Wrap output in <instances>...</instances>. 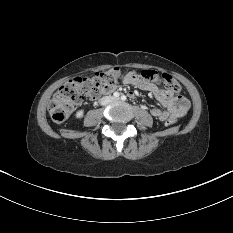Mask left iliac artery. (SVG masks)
<instances>
[{"label": "left iliac artery", "instance_id": "left-iliac-artery-1", "mask_svg": "<svg viewBox=\"0 0 233 233\" xmlns=\"http://www.w3.org/2000/svg\"><path fill=\"white\" fill-rule=\"evenodd\" d=\"M121 99H122L123 101H125V100L127 99V97H126L125 95H122V96H121Z\"/></svg>", "mask_w": 233, "mask_h": 233}]
</instances>
